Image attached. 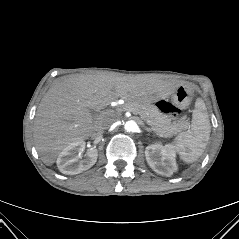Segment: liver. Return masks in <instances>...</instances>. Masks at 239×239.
<instances>
[{
	"label": "liver",
	"mask_w": 239,
	"mask_h": 239,
	"mask_svg": "<svg viewBox=\"0 0 239 239\" xmlns=\"http://www.w3.org/2000/svg\"><path fill=\"white\" fill-rule=\"evenodd\" d=\"M169 84L142 76L71 75L56 80L40 102L34 121V143L41 160L51 166L71 143L89 138L106 120L100 111L118 98L150 103L167 94ZM113 122V118H107Z\"/></svg>",
	"instance_id": "6515ba94"
}]
</instances>
